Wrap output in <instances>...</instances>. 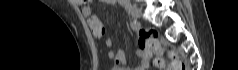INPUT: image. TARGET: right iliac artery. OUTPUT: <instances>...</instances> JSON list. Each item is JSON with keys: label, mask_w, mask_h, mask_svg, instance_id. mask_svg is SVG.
I'll return each mask as SVG.
<instances>
[{"label": "right iliac artery", "mask_w": 238, "mask_h": 70, "mask_svg": "<svg viewBox=\"0 0 238 70\" xmlns=\"http://www.w3.org/2000/svg\"><path fill=\"white\" fill-rule=\"evenodd\" d=\"M131 28L137 30L139 28V23L136 20L132 21Z\"/></svg>", "instance_id": "obj_1"}]
</instances>
